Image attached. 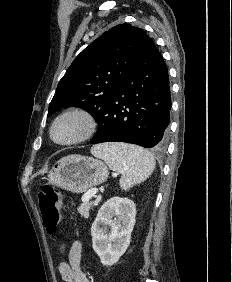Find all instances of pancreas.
<instances>
[{
  "mask_svg": "<svg viewBox=\"0 0 232 282\" xmlns=\"http://www.w3.org/2000/svg\"><path fill=\"white\" fill-rule=\"evenodd\" d=\"M94 202H84L83 204L80 205L78 208V212L80 213L81 216L88 218L89 217V212L93 206Z\"/></svg>",
  "mask_w": 232,
  "mask_h": 282,
  "instance_id": "1",
  "label": "pancreas"
}]
</instances>
